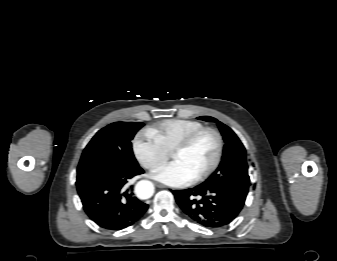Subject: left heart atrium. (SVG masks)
I'll return each instance as SVG.
<instances>
[{
    "mask_svg": "<svg viewBox=\"0 0 337 261\" xmlns=\"http://www.w3.org/2000/svg\"><path fill=\"white\" fill-rule=\"evenodd\" d=\"M152 176L167 185L174 187H183L189 185L194 177L178 161H171L155 168Z\"/></svg>",
    "mask_w": 337,
    "mask_h": 261,
    "instance_id": "left-heart-atrium-1",
    "label": "left heart atrium"
}]
</instances>
